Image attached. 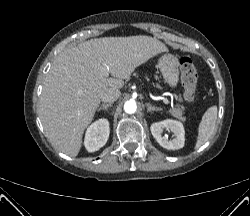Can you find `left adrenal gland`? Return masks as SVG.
Wrapping results in <instances>:
<instances>
[{
	"label": "left adrenal gland",
	"mask_w": 250,
	"mask_h": 216,
	"mask_svg": "<svg viewBox=\"0 0 250 216\" xmlns=\"http://www.w3.org/2000/svg\"><path fill=\"white\" fill-rule=\"evenodd\" d=\"M146 106H147V111H148V112H152V111H160V110H162L161 108H158V107L152 106V105H151V104H149V103H146Z\"/></svg>",
	"instance_id": "1"
}]
</instances>
